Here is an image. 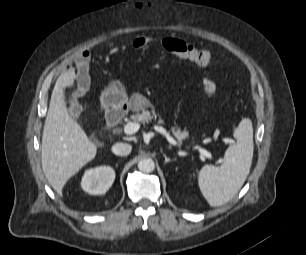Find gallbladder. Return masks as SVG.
<instances>
[{"label": "gallbladder", "instance_id": "gallbladder-1", "mask_svg": "<svg viewBox=\"0 0 306 255\" xmlns=\"http://www.w3.org/2000/svg\"><path fill=\"white\" fill-rule=\"evenodd\" d=\"M75 106H77L76 100H75V99H71V100H70V109L73 108V107H75Z\"/></svg>", "mask_w": 306, "mask_h": 255}]
</instances>
